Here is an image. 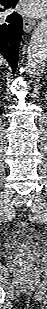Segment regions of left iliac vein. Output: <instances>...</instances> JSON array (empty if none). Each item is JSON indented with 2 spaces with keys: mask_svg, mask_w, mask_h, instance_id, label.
Here are the masks:
<instances>
[{
  "mask_svg": "<svg viewBox=\"0 0 47 309\" xmlns=\"http://www.w3.org/2000/svg\"><path fill=\"white\" fill-rule=\"evenodd\" d=\"M32 197L35 200V204L31 206V210L36 215H39L45 206V199L40 193H34Z\"/></svg>",
  "mask_w": 47,
  "mask_h": 309,
  "instance_id": "left-iliac-vein-1",
  "label": "left iliac vein"
}]
</instances>
